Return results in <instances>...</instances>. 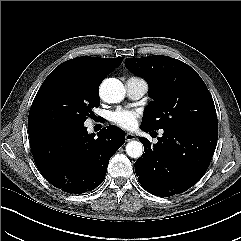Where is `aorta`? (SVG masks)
<instances>
[{
	"label": "aorta",
	"mask_w": 241,
	"mask_h": 241,
	"mask_svg": "<svg viewBox=\"0 0 241 241\" xmlns=\"http://www.w3.org/2000/svg\"><path fill=\"white\" fill-rule=\"evenodd\" d=\"M99 94L101 99L107 103H119L125 97V88L120 80L109 78L101 83ZM143 150V144L140 141H130L126 145V153L131 158L141 157Z\"/></svg>",
	"instance_id": "762f6f07"
}]
</instances>
